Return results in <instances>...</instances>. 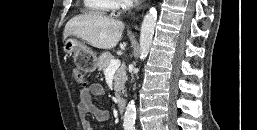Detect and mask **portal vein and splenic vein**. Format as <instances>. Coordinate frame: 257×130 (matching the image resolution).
Here are the masks:
<instances>
[{"mask_svg":"<svg viewBox=\"0 0 257 130\" xmlns=\"http://www.w3.org/2000/svg\"><path fill=\"white\" fill-rule=\"evenodd\" d=\"M121 65L120 60H111L109 66L105 70V73H110L116 71Z\"/></svg>","mask_w":257,"mask_h":130,"instance_id":"18ae733b","label":"portal vein and splenic vein"}]
</instances>
